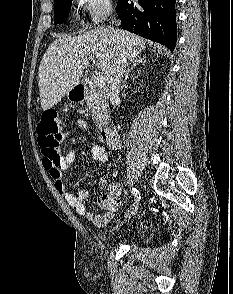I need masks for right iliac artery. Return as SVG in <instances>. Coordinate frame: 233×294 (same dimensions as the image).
<instances>
[{"label":"right iliac artery","mask_w":233,"mask_h":294,"mask_svg":"<svg viewBox=\"0 0 233 294\" xmlns=\"http://www.w3.org/2000/svg\"><path fill=\"white\" fill-rule=\"evenodd\" d=\"M131 193L134 195V197L136 198V201H140L141 200V196L139 191L136 188H132L131 189Z\"/></svg>","instance_id":"obj_1"}]
</instances>
